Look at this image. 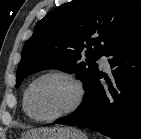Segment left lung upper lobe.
<instances>
[{
  "mask_svg": "<svg viewBox=\"0 0 141 139\" xmlns=\"http://www.w3.org/2000/svg\"><path fill=\"white\" fill-rule=\"evenodd\" d=\"M140 25L139 0L65 3L36 24L32 37L23 47L16 87L37 71L55 68L75 73L86 89L98 72L95 61Z\"/></svg>",
  "mask_w": 141,
  "mask_h": 139,
  "instance_id": "5c2ea615",
  "label": "left lung upper lobe"
}]
</instances>
